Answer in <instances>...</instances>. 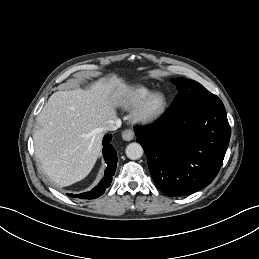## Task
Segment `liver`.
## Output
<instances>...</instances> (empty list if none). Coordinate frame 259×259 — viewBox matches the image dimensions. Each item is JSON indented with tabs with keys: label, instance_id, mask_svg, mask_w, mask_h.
Here are the masks:
<instances>
[{
	"label": "liver",
	"instance_id": "obj_1",
	"mask_svg": "<svg viewBox=\"0 0 259 259\" xmlns=\"http://www.w3.org/2000/svg\"><path fill=\"white\" fill-rule=\"evenodd\" d=\"M130 91L122 78L108 75L84 89L53 93L38 115L35 155L47 177L64 187L84 179L102 149V127L117 119L116 107Z\"/></svg>",
	"mask_w": 259,
	"mask_h": 259
}]
</instances>
